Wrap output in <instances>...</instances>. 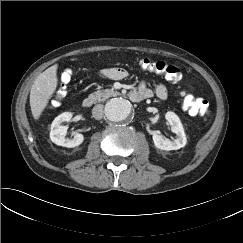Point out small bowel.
<instances>
[{
  "instance_id": "obj_1",
  "label": "small bowel",
  "mask_w": 243,
  "mask_h": 243,
  "mask_svg": "<svg viewBox=\"0 0 243 243\" xmlns=\"http://www.w3.org/2000/svg\"><path fill=\"white\" fill-rule=\"evenodd\" d=\"M100 76L107 79H124L128 76V72L121 67H111L101 70ZM133 92L144 96L145 99L154 95L159 99H166L168 96V89L164 84H157L153 91L146 86L145 82H141L138 89Z\"/></svg>"
}]
</instances>
